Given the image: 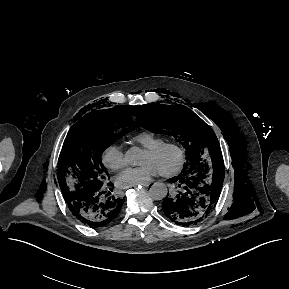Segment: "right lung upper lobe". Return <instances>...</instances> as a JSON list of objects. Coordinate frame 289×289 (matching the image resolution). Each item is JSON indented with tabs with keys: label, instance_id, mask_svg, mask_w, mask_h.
Returning a JSON list of instances; mask_svg holds the SVG:
<instances>
[{
	"label": "right lung upper lobe",
	"instance_id": "1",
	"mask_svg": "<svg viewBox=\"0 0 289 289\" xmlns=\"http://www.w3.org/2000/svg\"><path fill=\"white\" fill-rule=\"evenodd\" d=\"M121 108H122V106H115V107L110 108V109L98 110V111L91 112V113L87 114L86 116H99V115L114 114V113L118 112ZM135 108L136 107H134V109ZM133 113H134L133 116L137 115L136 110H133Z\"/></svg>",
	"mask_w": 289,
	"mask_h": 289
}]
</instances>
